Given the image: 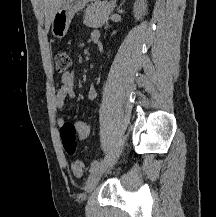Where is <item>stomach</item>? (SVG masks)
I'll use <instances>...</instances> for the list:
<instances>
[{
  "mask_svg": "<svg viewBox=\"0 0 216 217\" xmlns=\"http://www.w3.org/2000/svg\"><path fill=\"white\" fill-rule=\"evenodd\" d=\"M96 0H63L52 19V34L56 38H63L70 26L75 13L82 10L89 2Z\"/></svg>",
  "mask_w": 216,
  "mask_h": 217,
  "instance_id": "0dacf381",
  "label": "stomach"
}]
</instances>
